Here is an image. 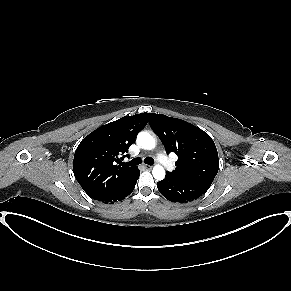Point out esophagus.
<instances>
[{"label":"esophagus","instance_id":"34e87169","mask_svg":"<svg viewBox=\"0 0 291 291\" xmlns=\"http://www.w3.org/2000/svg\"><path fill=\"white\" fill-rule=\"evenodd\" d=\"M147 170H151L152 169V166L151 165H145L144 166Z\"/></svg>","mask_w":291,"mask_h":291}]
</instances>
